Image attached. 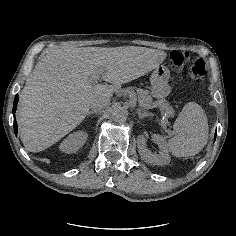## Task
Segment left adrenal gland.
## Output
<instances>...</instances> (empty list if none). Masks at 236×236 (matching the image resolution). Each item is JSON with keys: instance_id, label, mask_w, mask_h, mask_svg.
Returning <instances> with one entry per match:
<instances>
[{"instance_id": "obj_1", "label": "left adrenal gland", "mask_w": 236, "mask_h": 236, "mask_svg": "<svg viewBox=\"0 0 236 236\" xmlns=\"http://www.w3.org/2000/svg\"><path fill=\"white\" fill-rule=\"evenodd\" d=\"M153 115L154 114L151 112H146V111L142 112L141 109L138 110V116L140 119L146 118L148 116H153Z\"/></svg>"}]
</instances>
